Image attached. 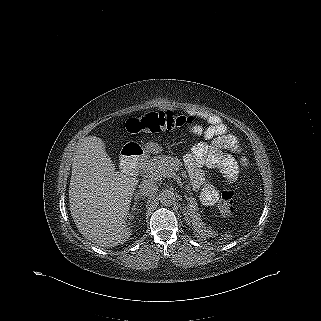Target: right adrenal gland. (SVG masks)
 Returning <instances> with one entry per match:
<instances>
[{"label":"right adrenal gland","mask_w":321,"mask_h":321,"mask_svg":"<svg viewBox=\"0 0 321 321\" xmlns=\"http://www.w3.org/2000/svg\"><path fill=\"white\" fill-rule=\"evenodd\" d=\"M134 199H135V202H134V205H133V208H132L133 211L136 210L137 200L143 199V197H142V195H141L140 193H137V194L135 195ZM132 217H133V216H131V218H132Z\"/></svg>","instance_id":"obj_1"}]
</instances>
